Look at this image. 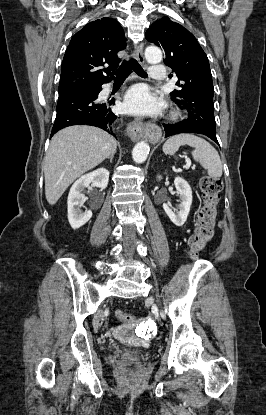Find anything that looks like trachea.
I'll use <instances>...</instances> for the list:
<instances>
[{
    "instance_id": "3493384b",
    "label": "trachea",
    "mask_w": 266,
    "mask_h": 415,
    "mask_svg": "<svg viewBox=\"0 0 266 415\" xmlns=\"http://www.w3.org/2000/svg\"><path fill=\"white\" fill-rule=\"evenodd\" d=\"M132 70L141 77H147L146 72L143 70V68L140 66L137 60L131 58L129 61H123L119 69L116 71L115 80H125Z\"/></svg>"
}]
</instances>
